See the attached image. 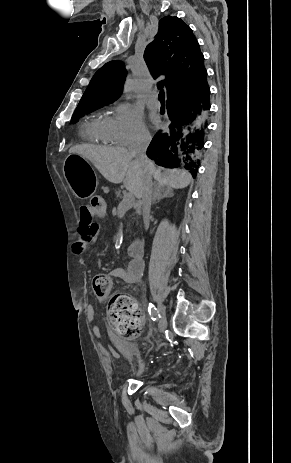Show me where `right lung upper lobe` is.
Returning <instances> with one entry per match:
<instances>
[{
    "mask_svg": "<svg viewBox=\"0 0 291 463\" xmlns=\"http://www.w3.org/2000/svg\"><path fill=\"white\" fill-rule=\"evenodd\" d=\"M144 60L154 78L166 75L158 87L165 86L168 98L197 91L206 73L198 41L177 17L166 16L159 21L158 33L146 47ZM125 76L122 62L106 63L94 74L77 107L112 103L122 92Z\"/></svg>",
    "mask_w": 291,
    "mask_h": 463,
    "instance_id": "obj_1",
    "label": "right lung upper lobe"
}]
</instances>
